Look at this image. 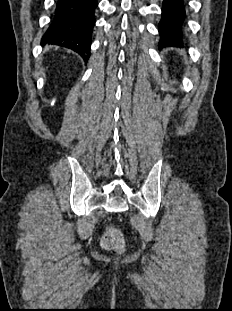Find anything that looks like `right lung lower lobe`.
<instances>
[{
    "mask_svg": "<svg viewBox=\"0 0 232 311\" xmlns=\"http://www.w3.org/2000/svg\"><path fill=\"white\" fill-rule=\"evenodd\" d=\"M97 5V0H58L42 42L69 48L87 60Z\"/></svg>",
    "mask_w": 232,
    "mask_h": 311,
    "instance_id": "98d812e1",
    "label": "right lung lower lobe"
}]
</instances>
